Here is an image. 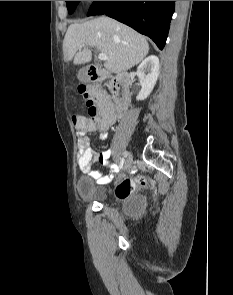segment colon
Returning <instances> with one entry per match:
<instances>
[{"label":"colon","instance_id":"1","mask_svg":"<svg viewBox=\"0 0 233 295\" xmlns=\"http://www.w3.org/2000/svg\"><path fill=\"white\" fill-rule=\"evenodd\" d=\"M113 80V86H114ZM79 93L86 101L89 117L75 114L73 115V123L78 131L88 130L96 126L103 118L104 113L98 106V97L101 91L93 85L81 84L78 87ZM145 179L137 177L135 179H125L116 188V195L118 198H125L131 190L137 185H144Z\"/></svg>","mask_w":233,"mask_h":295}]
</instances>
